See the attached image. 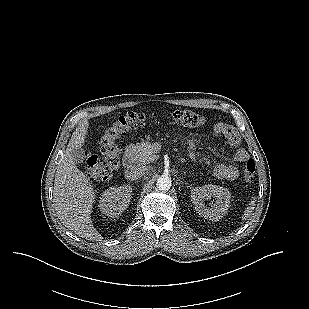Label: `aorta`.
<instances>
[{
	"instance_id": "aorta-1",
	"label": "aorta",
	"mask_w": 309,
	"mask_h": 309,
	"mask_svg": "<svg viewBox=\"0 0 309 309\" xmlns=\"http://www.w3.org/2000/svg\"><path fill=\"white\" fill-rule=\"evenodd\" d=\"M159 190H169L171 187V179L168 176H160L156 182Z\"/></svg>"
}]
</instances>
